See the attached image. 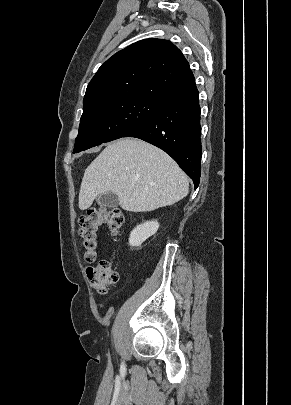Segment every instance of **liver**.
I'll use <instances>...</instances> for the list:
<instances>
[{
  "label": "liver",
  "instance_id": "liver-1",
  "mask_svg": "<svg viewBox=\"0 0 291 405\" xmlns=\"http://www.w3.org/2000/svg\"><path fill=\"white\" fill-rule=\"evenodd\" d=\"M189 182L178 164L161 149L136 138L112 142L86 168L79 192V208L112 192L122 209L152 211L182 200Z\"/></svg>",
  "mask_w": 291,
  "mask_h": 405
}]
</instances>
